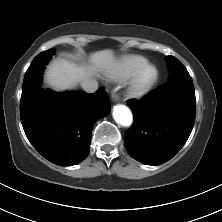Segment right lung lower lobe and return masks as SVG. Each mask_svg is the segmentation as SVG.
<instances>
[{"instance_id":"obj_1","label":"right lung lower lobe","mask_w":222,"mask_h":222,"mask_svg":"<svg viewBox=\"0 0 222 222\" xmlns=\"http://www.w3.org/2000/svg\"><path fill=\"white\" fill-rule=\"evenodd\" d=\"M110 111L103 88L93 94L42 91L38 85L22 92L20 117L33 147L50 162L72 166L90 150L95 122Z\"/></svg>"}]
</instances>
